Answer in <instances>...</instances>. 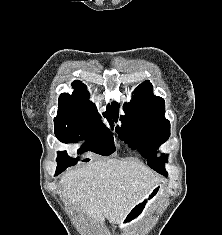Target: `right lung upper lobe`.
<instances>
[{"mask_svg":"<svg viewBox=\"0 0 222 235\" xmlns=\"http://www.w3.org/2000/svg\"><path fill=\"white\" fill-rule=\"evenodd\" d=\"M74 92L72 95L62 93L59 96V106L57 116H97V109L94 103L88 100L89 93L87 87L81 81L72 83ZM104 117L117 121L118 115L115 105H108V109L103 113Z\"/></svg>","mask_w":222,"mask_h":235,"instance_id":"cb5924a9","label":"right lung upper lobe"}]
</instances>
